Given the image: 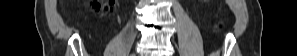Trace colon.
Listing matches in <instances>:
<instances>
[{"mask_svg": "<svg viewBox=\"0 0 297 56\" xmlns=\"http://www.w3.org/2000/svg\"><path fill=\"white\" fill-rule=\"evenodd\" d=\"M91 4L98 12H108L112 10L114 1L113 0L102 1V2L93 1Z\"/></svg>", "mask_w": 297, "mask_h": 56, "instance_id": "obj_1", "label": "colon"}]
</instances>
